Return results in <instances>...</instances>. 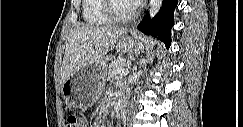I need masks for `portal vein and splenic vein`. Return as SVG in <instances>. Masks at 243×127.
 <instances>
[{
  "instance_id": "obj_1",
  "label": "portal vein and splenic vein",
  "mask_w": 243,
  "mask_h": 127,
  "mask_svg": "<svg viewBox=\"0 0 243 127\" xmlns=\"http://www.w3.org/2000/svg\"><path fill=\"white\" fill-rule=\"evenodd\" d=\"M115 73L118 75H126V74H128V70H126L124 68H118Z\"/></svg>"
}]
</instances>
